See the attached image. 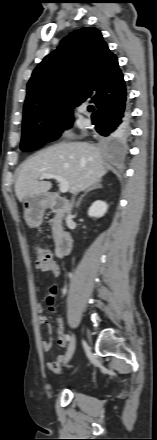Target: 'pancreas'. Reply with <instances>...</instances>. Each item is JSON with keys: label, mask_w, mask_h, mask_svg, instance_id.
<instances>
[{"label": "pancreas", "mask_w": 157, "mask_h": 440, "mask_svg": "<svg viewBox=\"0 0 157 440\" xmlns=\"http://www.w3.org/2000/svg\"><path fill=\"white\" fill-rule=\"evenodd\" d=\"M61 219L58 215H56L52 220V233H53V239L56 240L60 231H61Z\"/></svg>", "instance_id": "cf45deb5"}]
</instances>
